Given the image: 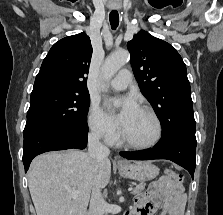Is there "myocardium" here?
I'll return each mask as SVG.
<instances>
[{
	"label": "myocardium",
	"instance_id": "1",
	"mask_svg": "<svg viewBox=\"0 0 223 215\" xmlns=\"http://www.w3.org/2000/svg\"><path fill=\"white\" fill-rule=\"evenodd\" d=\"M141 111L147 113L150 118L152 119L154 126H155V132H154V136L153 138L145 144H137V143H133L130 141H125L121 138V131L119 133V138H118V143L119 145L128 148V149H134V150H147V149H151L153 147H155L157 145V143L159 142L160 138H161V133H162V126H161V122L157 116V114L155 113V111L150 108L149 106L146 105H142L139 106V108Z\"/></svg>",
	"mask_w": 223,
	"mask_h": 215
}]
</instances>
